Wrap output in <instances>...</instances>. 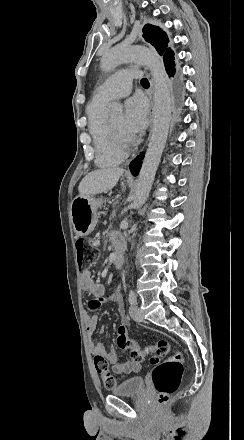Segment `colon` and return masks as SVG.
<instances>
[{
    "instance_id": "1",
    "label": "colon",
    "mask_w": 244,
    "mask_h": 440,
    "mask_svg": "<svg viewBox=\"0 0 244 440\" xmlns=\"http://www.w3.org/2000/svg\"><path fill=\"white\" fill-rule=\"evenodd\" d=\"M75 248L77 266L81 271L98 262L99 250L88 240L77 239ZM117 331H119L116 340L117 346L121 350L129 351L133 361L140 363L148 355H151L150 364L155 366L152 375L154 387L159 402L165 404L179 387L183 372V355L178 351H173L170 343L165 340L140 347L137 342L127 337L126 329L123 326H117ZM93 363L96 372L101 375L102 381L106 385L116 384L115 374L110 373L107 358L96 355Z\"/></svg>"
}]
</instances>
